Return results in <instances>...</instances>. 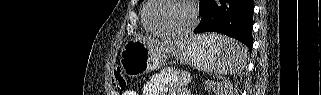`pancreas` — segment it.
Returning <instances> with one entry per match:
<instances>
[{"label": "pancreas", "mask_w": 321, "mask_h": 95, "mask_svg": "<svg viewBox=\"0 0 321 95\" xmlns=\"http://www.w3.org/2000/svg\"><path fill=\"white\" fill-rule=\"evenodd\" d=\"M221 87H224V85H219V84H215L213 81H205V90H214L215 92H217V90Z\"/></svg>", "instance_id": "pancreas-1"}]
</instances>
